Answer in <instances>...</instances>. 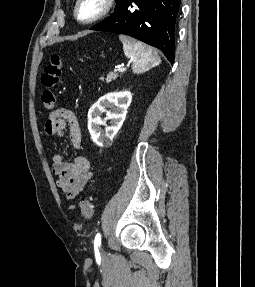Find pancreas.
Here are the masks:
<instances>
[{
  "label": "pancreas",
  "instance_id": "pancreas-1",
  "mask_svg": "<svg viewBox=\"0 0 255 287\" xmlns=\"http://www.w3.org/2000/svg\"><path fill=\"white\" fill-rule=\"evenodd\" d=\"M116 78H121V74H115V72H109L106 78H101V80H106V84L112 82V80H116Z\"/></svg>",
  "mask_w": 255,
  "mask_h": 287
}]
</instances>
